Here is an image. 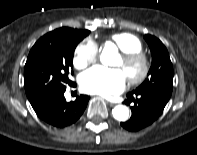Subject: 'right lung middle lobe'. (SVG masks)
<instances>
[{"label":"right lung middle lobe","mask_w":197,"mask_h":155,"mask_svg":"<svg viewBox=\"0 0 197 155\" xmlns=\"http://www.w3.org/2000/svg\"><path fill=\"white\" fill-rule=\"evenodd\" d=\"M89 33L63 27L45 34L34 44L24 68V87L31 105L71 84L68 75L73 68L74 50Z\"/></svg>","instance_id":"right-lung-middle-lobe-1"}]
</instances>
